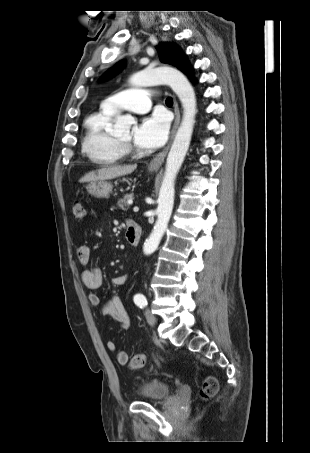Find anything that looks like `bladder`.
Returning <instances> with one entry per match:
<instances>
[{
	"label": "bladder",
	"instance_id": "31cf9c89",
	"mask_svg": "<svg viewBox=\"0 0 310 453\" xmlns=\"http://www.w3.org/2000/svg\"><path fill=\"white\" fill-rule=\"evenodd\" d=\"M136 393L142 400L160 401L171 395V387L165 382L151 379L142 382Z\"/></svg>",
	"mask_w": 310,
	"mask_h": 453
}]
</instances>
